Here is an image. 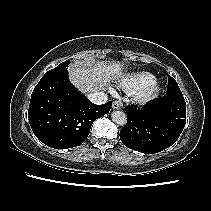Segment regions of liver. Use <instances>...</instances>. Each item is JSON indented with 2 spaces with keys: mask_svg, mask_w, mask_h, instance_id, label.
I'll list each match as a JSON object with an SVG mask.
<instances>
[{
  "mask_svg": "<svg viewBox=\"0 0 211 211\" xmlns=\"http://www.w3.org/2000/svg\"><path fill=\"white\" fill-rule=\"evenodd\" d=\"M123 69L121 62L87 60L69 67L68 72L71 83L81 92L90 94L117 80Z\"/></svg>",
  "mask_w": 211,
  "mask_h": 211,
  "instance_id": "6515ba94",
  "label": "liver"
}]
</instances>
